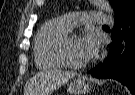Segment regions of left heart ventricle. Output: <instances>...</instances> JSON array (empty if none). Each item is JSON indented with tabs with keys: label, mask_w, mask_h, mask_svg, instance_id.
Masks as SVG:
<instances>
[{
	"label": "left heart ventricle",
	"mask_w": 135,
	"mask_h": 95,
	"mask_svg": "<svg viewBox=\"0 0 135 95\" xmlns=\"http://www.w3.org/2000/svg\"><path fill=\"white\" fill-rule=\"evenodd\" d=\"M67 53L71 60L75 62H84L79 52V38L71 35L67 43Z\"/></svg>",
	"instance_id": "1"
}]
</instances>
